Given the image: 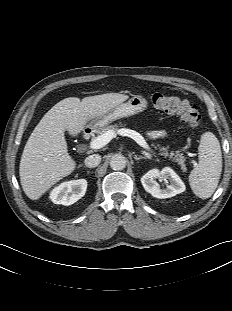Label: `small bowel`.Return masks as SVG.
I'll return each mask as SVG.
<instances>
[{"label":"small bowel","instance_id":"small-bowel-1","mask_svg":"<svg viewBox=\"0 0 232 311\" xmlns=\"http://www.w3.org/2000/svg\"><path fill=\"white\" fill-rule=\"evenodd\" d=\"M148 136L151 139H159V138H163L165 136V132L161 131V130H154V131H150L148 133Z\"/></svg>","mask_w":232,"mask_h":311}]
</instances>
